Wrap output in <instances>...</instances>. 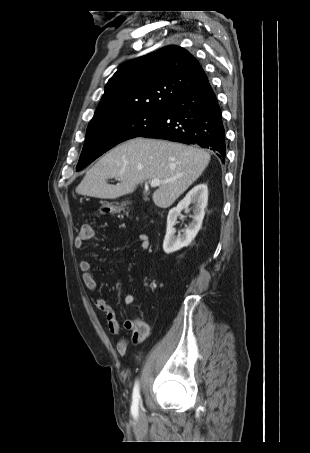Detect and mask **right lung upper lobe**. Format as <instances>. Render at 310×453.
Instances as JSON below:
<instances>
[{"instance_id": "1", "label": "right lung upper lobe", "mask_w": 310, "mask_h": 453, "mask_svg": "<svg viewBox=\"0 0 310 453\" xmlns=\"http://www.w3.org/2000/svg\"><path fill=\"white\" fill-rule=\"evenodd\" d=\"M204 76L194 56L179 46L129 60L109 79L91 121L121 112L164 110Z\"/></svg>"}]
</instances>
